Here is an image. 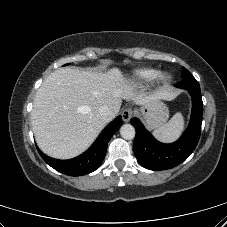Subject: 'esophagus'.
I'll use <instances>...</instances> for the list:
<instances>
[{
    "label": "esophagus",
    "instance_id": "esophagus-1",
    "mask_svg": "<svg viewBox=\"0 0 227 227\" xmlns=\"http://www.w3.org/2000/svg\"><path fill=\"white\" fill-rule=\"evenodd\" d=\"M133 111L131 108H126L122 112V119L124 122H129L130 119L132 118Z\"/></svg>",
    "mask_w": 227,
    "mask_h": 227
}]
</instances>
